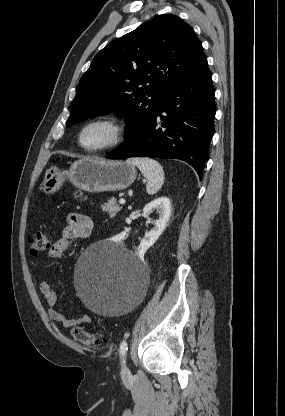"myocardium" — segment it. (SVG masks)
Returning <instances> with one entry per match:
<instances>
[{
	"label": "myocardium",
	"instance_id": "obj_1",
	"mask_svg": "<svg viewBox=\"0 0 285 416\" xmlns=\"http://www.w3.org/2000/svg\"><path fill=\"white\" fill-rule=\"evenodd\" d=\"M94 125L106 126L110 130L111 137H110L109 142L104 146H101L98 148H87L83 145L82 138H83L85 131ZM123 140H124L123 126L118 121L110 117H96V118L89 120L82 126L77 137V143L79 147L81 148V150L91 155L107 153L117 148L118 146H120Z\"/></svg>",
	"mask_w": 285,
	"mask_h": 416
}]
</instances>
